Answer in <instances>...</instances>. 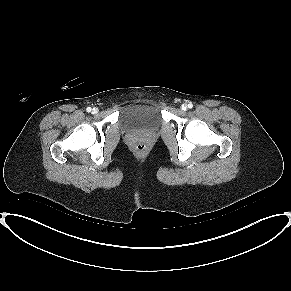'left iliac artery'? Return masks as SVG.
<instances>
[{
	"label": "left iliac artery",
	"instance_id": "left-iliac-artery-1",
	"mask_svg": "<svg viewBox=\"0 0 291 291\" xmlns=\"http://www.w3.org/2000/svg\"><path fill=\"white\" fill-rule=\"evenodd\" d=\"M192 107H193V104H192V103H189V104H188V108L191 109Z\"/></svg>",
	"mask_w": 291,
	"mask_h": 291
}]
</instances>
